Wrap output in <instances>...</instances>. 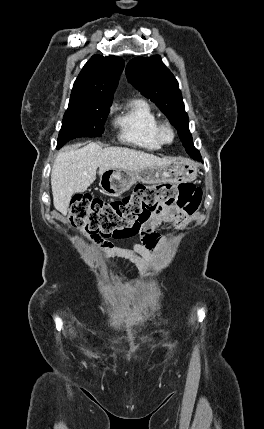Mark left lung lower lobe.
Here are the masks:
<instances>
[{
  "label": "left lung lower lobe",
  "instance_id": "1",
  "mask_svg": "<svg viewBox=\"0 0 264 429\" xmlns=\"http://www.w3.org/2000/svg\"><path fill=\"white\" fill-rule=\"evenodd\" d=\"M192 158H197V159H201V156H200V153L197 151V152H195V153H191V155H190Z\"/></svg>",
  "mask_w": 264,
  "mask_h": 429
}]
</instances>
